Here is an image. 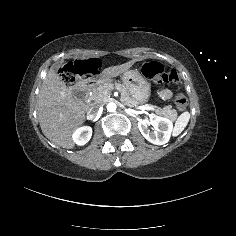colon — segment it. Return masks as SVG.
I'll use <instances>...</instances> for the list:
<instances>
[{
  "mask_svg": "<svg viewBox=\"0 0 236 236\" xmlns=\"http://www.w3.org/2000/svg\"><path fill=\"white\" fill-rule=\"evenodd\" d=\"M89 70H96V65L94 63H71L63 66L59 70V73L62 81L66 85L71 86L80 76ZM139 71L144 77L155 83H172L177 86L181 83L180 76L176 70L166 71L163 66L156 61L144 62L140 64ZM187 104L188 100L186 96L180 93L176 98V106L178 110H185Z\"/></svg>",
  "mask_w": 236,
  "mask_h": 236,
  "instance_id": "5ec220e1",
  "label": "colon"
}]
</instances>
